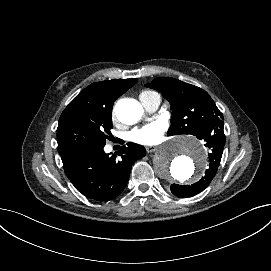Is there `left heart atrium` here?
Returning a JSON list of instances; mask_svg holds the SVG:
<instances>
[{"label":"left heart atrium","instance_id":"left-heart-atrium-1","mask_svg":"<svg viewBox=\"0 0 271 271\" xmlns=\"http://www.w3.org/2000/svg\"><path fill=\"white\" fill-rule=\"evenodd\" d=\"M165 129L166 125L163 122L155 121L141 129L133 131L130 134V138L139 144L154 145L162 140Z\"/></svg>","mask_w":271,"mask_h":271}]
</instances>
